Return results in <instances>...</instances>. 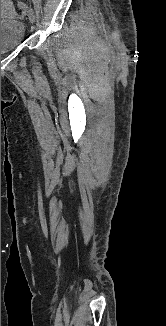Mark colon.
I'll return each mask as SVG.
<instances>
[{
    "label": "colon",
    "instance_id": "1",
    "mask_svg": "<svg viewBox=\"0 0 166 326\" xmlns=\"http://www.w3.org/2000/svg\"><path fill=\"white\" fill-rule=\"evenodd\" d=\"M18 7H19L20 9H24V8H25V4H24L23 2H19V3H18Z\"/></svg>",
    "mask_w": 166,
    "mask_h": 326
}]
</instances>
